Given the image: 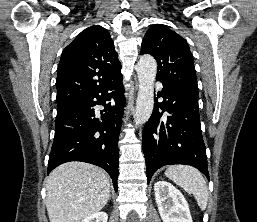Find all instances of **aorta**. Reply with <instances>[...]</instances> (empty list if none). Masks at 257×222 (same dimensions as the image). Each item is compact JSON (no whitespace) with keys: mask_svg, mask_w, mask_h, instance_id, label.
Instances as JSON below:
<instances>
[{"mask_svg":"<svg viewBox=\"0 0 257 222\" xmlns=\"http://www.w3.org/2000/svg\"><path fill=\"white\" fill-rule=\"evenodd\" d=\"M136 71L139 80V91L134 122L136 125H141L148 121L153 111L157 63L152 56L143 55L136 66Z\"/></svg>","mask_w":257,"mask_h":222,"instance_id":"1","label":"aorta"}]
</instances>
